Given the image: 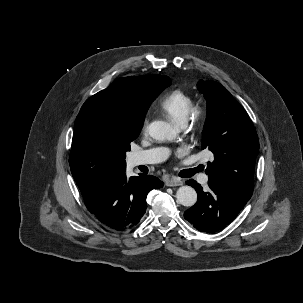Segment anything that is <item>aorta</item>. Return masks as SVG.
Masks as SVG:
<instances>
[{"instance_id":"762f6f07","label":"aorta","mask_w":303,"mask_h":303,"mask_svg":"<svg viewBox=\"0 0 303 303\" xmlns=\"http://www.w3.org/2000/svg\"><path fill=\"white\" fill-rule=\"evenodd\" d=\"M149 135L157 141L173 140L176 130L165 121H153L148 126ZM177 202L191 207L197 202V193L191 186H181L176 193Z\"/></svg>"}]
</instances>
